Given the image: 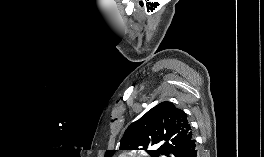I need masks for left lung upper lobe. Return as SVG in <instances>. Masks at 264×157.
<instances>
[{"label": "left lung upper lobe", "mask_w": 264, "mask_h": 157, "mask_svg": "<svg viewBox=\"0 0 264 157\" xmlns=\"http://www.w3.org/2000/svg\"><path fill=\"white\" fill-rule=\"evenodd\" d=\"M193 139L187 114L171 102H161L149 110L125 131L120 150H144L151 157H182ZM154 150H148V148ZM115 150H107L105 157H112Z\"/></svg>", "instance_id": "1"}]
</instances>
